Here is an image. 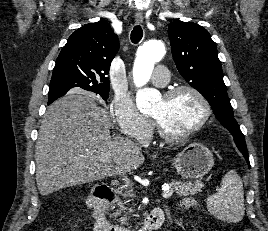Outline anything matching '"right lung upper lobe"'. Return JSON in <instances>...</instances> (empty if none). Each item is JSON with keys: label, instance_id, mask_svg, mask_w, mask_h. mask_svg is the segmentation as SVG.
I'll return each mask as SVG.
<instances>
[{"label": "right lung upper lobe", "instance_id": "cb5924a9", "mask_svg": "<svg viewBox=\"0 0 268 231\" xmlns=\"http://www.w3.org/2000/svg\"><path fill=\"white\" fill-rule=\"evenodd\" d=\"M118 49V36L109 23L99 21L82 26L69 37L61 50L50 88L67 91L77 88L91 92L109 90L107 75ZM61 96H49L48 104Z\"/></svg>", "mask_w": 268, "mask_h": 231}]
</instances>
